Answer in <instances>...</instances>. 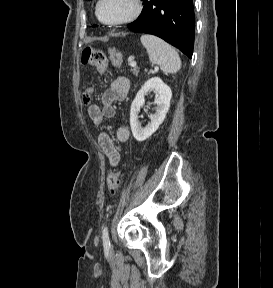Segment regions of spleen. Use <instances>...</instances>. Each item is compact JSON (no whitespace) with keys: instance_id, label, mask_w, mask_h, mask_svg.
Returning <instances> with one entry per match:
<instances>
[{"instance_id":"spleen-1","label":"spleen","mask_w":273,"mask_h":288,"mask_svg":"<svg viewBox=\"0 0 273 288\" xmlns=\"http://www.w3.org/2000/svg\"><path fill=\"white\" fill-rule=\"evenodd\" d=\"M140 40L148 52L150 61L158 64L163 72L175 73L180 69V57L168 43L154 35H142Z\"/></svg>"}]
</instances>
